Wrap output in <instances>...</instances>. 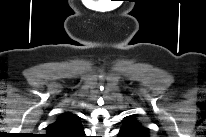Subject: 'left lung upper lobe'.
Listing matches in <instances>:
<instances>
[{
    "label": "left lung upper lobe",
    "instance_id": "obj_1",
    "mask_svg": "<svg viewBox=\"0 0 206 137\" xmlns=\"http://www.w3.org/2000/svg\"><path fill=\"white\" fill-rule=\"evenodd\" d=\"M122 129H128L140 134L142 137H148V128L144 127L135 115L129 116L123 123Z\"/></svg>",
    "mask_w": 206,
    "mask_h": 137
}]
</instances>
